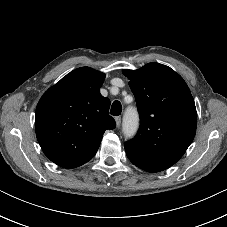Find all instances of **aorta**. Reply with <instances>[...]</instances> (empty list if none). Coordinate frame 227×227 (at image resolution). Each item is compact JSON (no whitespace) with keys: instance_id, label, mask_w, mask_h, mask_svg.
I'll list each match as a JSON object with an SVG mask.
<instances>
[{"instance_id":"aorta-1","label":"aorta","mask_w":227,"mask_h":227,"mask_svg":"<svg viewBox=\"0 0 227 227\" xmlns=\"http://www.w3.org/2000/svg\"><path fill=\"white\" fill-rule=\"evenodd\" d=\"M138 128V116L133 110H128L125 113L123 131L128 137L134 135Z\"/></svg>"}]
</instances>
